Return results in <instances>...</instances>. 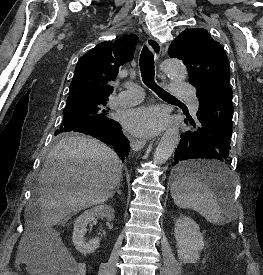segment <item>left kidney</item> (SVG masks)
<instances>
[{"mask_svg": "<svg viewBox=\"0 0 263 275\" xmlns=\"http://www.w3.org/2000/svg\"><path fill=\"white\" fill-rule=\"evenodd\" d=\"M177 255L184 263H196L199 252L204 248V237L198 224L188 217L179 218L175 223Z\"/></svg>", "mask_w": 263, "mask_h": 275, "instance_id": "1", "label": "left kidney"}]
</instances>
